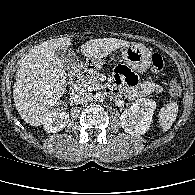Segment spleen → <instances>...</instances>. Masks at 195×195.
<instances>
[{
    "label": "spleen",
    "instance_id": "spleen-1",
    "mask_svg": "<svg viewBox=\"0 0 195 195\" xmlns=\"http://www.w3.org/2000/svg\"><path fill=\"white\" fill-rule=\"evenodd\" d=\"M178 114V104L175 101H170L159 111V124L164 132L169 130L176 120Z\"/></svg>",
    "mask_w": 195,
    "mask_h": 195
}]
</instances>
